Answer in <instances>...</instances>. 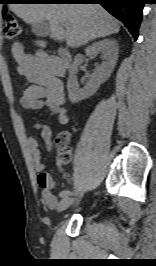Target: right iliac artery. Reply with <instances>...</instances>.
Returning <instances> with one entry per match:
<instances>
[{
	"label": "right iliac artery",
	"instance_id": "obj_1",
	"mask_svg": "<svg viewBox=\"0 0 156 266\" xmlns=\"http://www.w3.org/2000/svg\"><path fill=\"white\" fill-rule=\"evenodd\" d=\"M72 193L69 190H63L60 192L59 196L61 198H67L71 195Z\"/></svg>",
	"mask_w": 156,
	"mask_h": 266
}]
</instances>
